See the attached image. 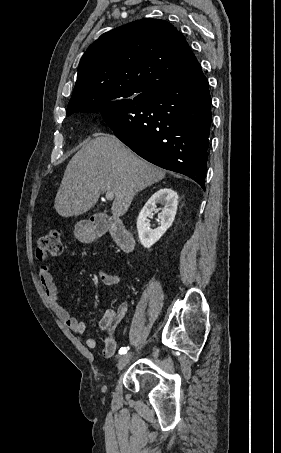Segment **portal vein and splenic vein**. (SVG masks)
<instances>
[{
    "instance_id": "1",
    "label": "portal vein and splenic vein",
    "mask_w": 281,
    "mask_h": 453,
    "mask_svg": "<svg viewBox=\"0 0 281 453\" xmlns=\"http://www.w3.org/2000/svg\"><path fill=\"white\" fill-rule=\"evenodd\" d=\"M105 198H107V200H113L114 192H106Z\"/></svg>"
}]
</instances>
